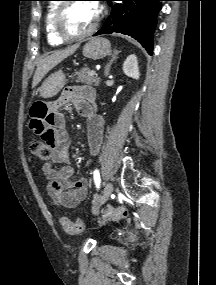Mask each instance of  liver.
Wrapping results in <instances>:
<instances>
[{"label": "liver", "instance_id": "liver-1", "mask_svg": "<svg viewBox=\"0 0 216 285\" xmlns=\"http://www.w3.org/2000/svg\"><path fill=\"white\" fill-rule=\"evenodd\" d=\"M78 47L79 45L76 44L64 50L54 51L51 55L43 57L35 71L32 87L34 88L53 67L68 56L72 55Z\"/></svg>", "mask_w": 216, "mask_h": 285}]
</instances>
